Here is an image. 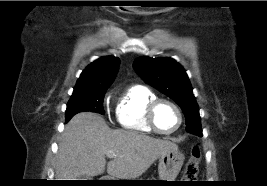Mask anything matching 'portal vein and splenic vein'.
Returning <instances> with one entry per match:
<instances>
[{
  "mask_svg": "<svg viewBox=\"0 0 267 186\" xmlns=\"http://www.w3.org/2000/svg\"><path fill=\"white\" fill-rule=\"evenodd\" d=\"M106 156L109 157V158H113V157L116 156V154H115L114 152H111V151H110V152H107V153H106Z\"/></svg>",
  "mask_w": 267,
  "mask_h": 186,
  "instance_id": "18ae733b",
  "label": "portal vein and splenic vein"
}]
</instances>
